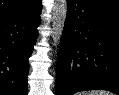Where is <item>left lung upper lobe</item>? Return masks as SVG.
I'll return each instance as SVG.
<instances>
[{
	"instance_id": "5c2ea615",
	"label": "left lung upper lobe",
	"mask_w": 119,
	"mask_h": 95,
	"mask_svg": "<svg viewBox=\"0 0 119 95\" xmlns=\"http://www.w3.org/2000/svg\"><path fill=\"white\" fill-rule=\"evenodd\" d=\"M104 6L119 9V0H91Z\"/></svg>"
}]
</instances>
